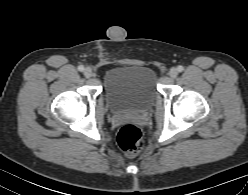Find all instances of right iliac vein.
Returning a JSON list of instances; mask_svg holds the SVG:
<instances>
[{"mask_svg": "<svg viewBox=\"0 0 248 195\" xmlns=\"http://www.w3.org/2000/svg\"><path fill=\"white\" fill-rule=\"evenodd\" d=\"M92 74L93 73H92L91 68L87 67V68L84 69V75H85V77L89 78V77L92 76Z\"/></svg>", "mask_w": 248, "mask_h": 195, "instance_id": "right-iliac-vein-1", "label": "right iliac vein"}]
</instances>
